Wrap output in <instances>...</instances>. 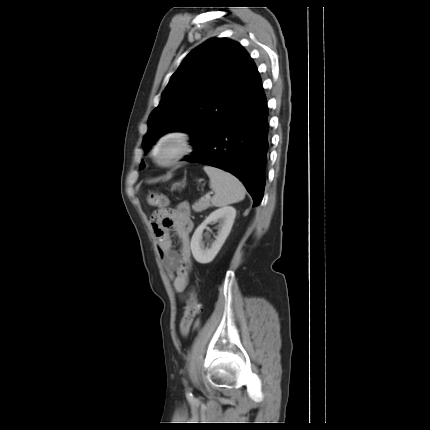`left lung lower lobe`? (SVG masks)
Returning <instances> with one entry per match:
<instances>
[{
  "instance_id": "obj_1",
  "label": "left lung lower lobe",
  "mask_w": 430,
  "mask_h": 430,
  "mask_svg": "<svg viewBox=\"0 0 430 430\" xmlns=\"http://www.w3.org/2000/svg\"><path fill=\"white\" fill-rule=\"evenodd\" d=\"M268 132V108L260 79L256 90L230 109L219 123L201 128L192 142L195 151L183 160L230 172L242 181L255 207L264 194Z\"/></svg>"
}]
</instances>
